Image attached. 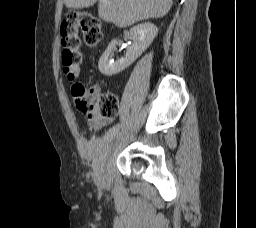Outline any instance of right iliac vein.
Returning a JSON list of instances; mask_svg holds the SVG:
<instances>
[{
  "label": "right iliac vein",
  "mask_w": 256,
  "mask_h": 228,
  "mask_svg": "<svg viewBox=\"0 0 256 228\" xmlns=\"http://www.w3.org/2000/svg\"><path fill=\"white\" fill-rule=\"evenodd\" d=\"M121 133H122L121 129H116L114 134L112 135V140H110V143H113V140L118 139ZM102 160H105V157H102Z\"/></svg>",
  "instance_id": "right-iliac-vein-1"
}]
</instances>
